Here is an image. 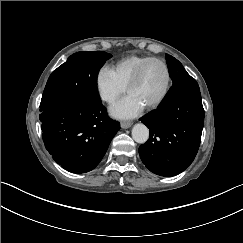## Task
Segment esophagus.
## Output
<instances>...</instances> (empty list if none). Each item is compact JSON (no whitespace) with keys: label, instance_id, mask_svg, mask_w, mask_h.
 Wrapping results in <instances>:
<instances>
[{"label":"esophagus","instance_id":"1","mask_svg":"<svg viewBox=\"0 0 243 243\" xmlns=\"http://www.w3.org/2000/svg\"><path fill=\"white\" fill-rule=\"evenodd\" d=\"M131 126H132L131 122H122L121 123V128H123V129L130 128Z\"/></svg>","mask_w":243,"mask_h":243}]
</instances>
